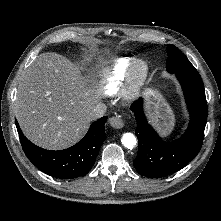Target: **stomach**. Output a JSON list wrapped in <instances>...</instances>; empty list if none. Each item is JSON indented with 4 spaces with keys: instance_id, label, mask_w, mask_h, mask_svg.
Segmentation results:
<instances>
[{
    "instance_id": "1",
    "label": "stomach",
    "mask_w": 221,
    "mask_h": 221,
    "mask_svg": "<svg viewBox=\"0 0 221 221\" xmlns=\"http://www.w3.org/2000/svg\"><path fill=\"white\" fill-rule=\"evenodd\" d=\"M146 94V111L151 123L163 136H169L175 126V115L163 97V95L154 88H147Z\"/></svg>"
}]
</instances>
